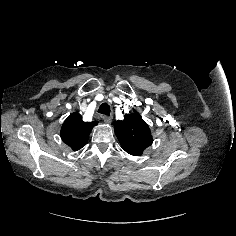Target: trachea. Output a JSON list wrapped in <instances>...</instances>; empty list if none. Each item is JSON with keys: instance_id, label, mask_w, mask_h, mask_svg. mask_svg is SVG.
Returning a JSON list of instances; mask_svg holds the SVG:
<instances>
[{"instance_id": "1", "label": "trachea", "mask_w": 236, "mask_h": 236, "mask_svg": "<svg viewBox=\"0 0 236 236\" xmlns=\"http://www.w3.org/2000/svg\"><path fill=\"white\" fill-rule=\"evenodd\" d=\"M98 112L104 115H110V106L108 103H102L98 109Z\"/></svg>"}]
</instances>
